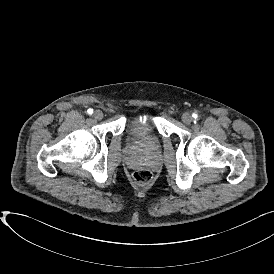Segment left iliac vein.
<instances>
[{"instance_id":"1","label":"left iliac vein","mask_w":274,"mask_h":274,"mask_svg":"<svg viewBox=\"0 0 274 274\" xmlns=\"http://www.w3.org/2000/svg\"><path fill=\"white\" fill-rule=\"evenodd\" d=\"M193 118L192 116L188 113V112H185L183 115H182V121L185 123V124H190L192 122Z\"/></svg>"}]
</instances>
